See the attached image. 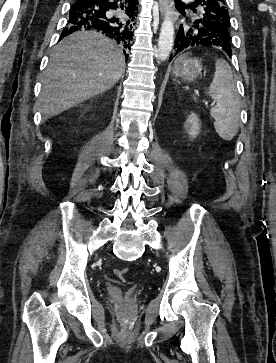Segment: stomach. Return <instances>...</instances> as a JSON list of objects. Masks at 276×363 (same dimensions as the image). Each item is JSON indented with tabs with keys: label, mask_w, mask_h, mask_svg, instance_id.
Segmentation results:
<instances>
[{
	"label": "stomach",
	"mask_w": 276,
	"mask_h": 363,
	"mask_svg": "<svg viewBox=\"0 0 276 363\" xmlns=\"http://www.w3.org/2000/svg\"><path fill=\"white\" fill-rule=\"evenodd\" d=\"M202 71V64L197 59L183 58L173 69L175 76H181L189 81L196 79Z\"/></svg>",
	"instance_id": "stomach-1"
}]
</instances>
